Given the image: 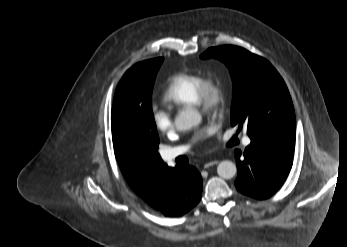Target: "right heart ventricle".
<instances>
[{"instance_id": "e07e8e85", "label": "right heart ventricle", "mask_w": 347, "mask_h": 247, "mask_svg": "<svg viewBox=\"0 0 347 247\" xmlns=\"http://www.w3.org/2000/svg\"><path fill=\"white\" fill-rule=\"evenodd\" d=\"M203 77L198 73L179 72L169 77L162 100L173 107L197 105V93Z\"/></svg>"}]
</instances>
